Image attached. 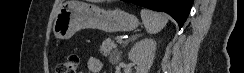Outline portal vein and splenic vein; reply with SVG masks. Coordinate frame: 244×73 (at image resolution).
I'll use <instances>...</instances> for the list:
<instances>
[{
	"label": "portal vein and splenic vein",
	"instance_id": "portal-vein-and-splenic-vein-1",
	"mask_svg": "<svg viewBox=\"0 0 244 73\" xmlns=\"http://www.w3.org/2000/svg\"><path fill=\"white\" fill-rule=\"evenodd\" d=\"M123 42V40H117V43H122Z\"/></svg>",
	"mask_w": 244,
	"mask_h": 73
}]
</instances>
